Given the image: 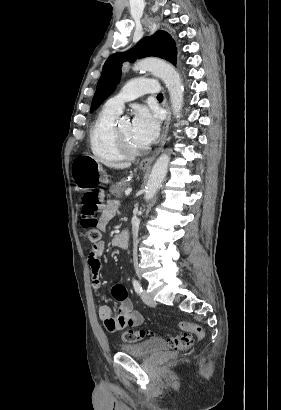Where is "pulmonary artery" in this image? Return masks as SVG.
Masks as SVG:
<instances>
[{"label":"pulmonary artery","mask_w":281,"mask_h":410,"mask_svg":"<svg viewBox=\"0 0 281 410\" xmlns=\"http://www.w3.org/2000/svg\"><path fill=\"white\" fill-rule=\"evenodd\" d=\"M158 84L150 79L136 78L127 82L121 91L110 98L105 106L117 112H121L124 103L131 101L144 93H158Z\"/></svg>","instance_id":"1"}]
</instances>
